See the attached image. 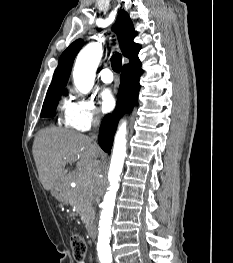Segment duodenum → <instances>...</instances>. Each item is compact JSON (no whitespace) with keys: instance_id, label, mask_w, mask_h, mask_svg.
<instances>
[{"instance_id":"410a0bca","label":"duodenum","mask_w":233,"mask_h":263,"mask_svg":"<svg viewBox=\"0 0 233 263\" xmlns=\"http://www.w3.org/2000/svg\"><path fill=\"white\" fill-rule=\"evenodd\" d=\"M89 236L91 239H95L97 232H96V226L94 224L89 225Z\"/></svg>"}]
</instances>
